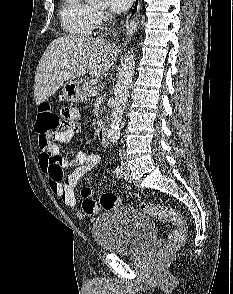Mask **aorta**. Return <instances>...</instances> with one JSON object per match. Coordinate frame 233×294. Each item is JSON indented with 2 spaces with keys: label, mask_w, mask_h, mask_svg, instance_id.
I'll return each instance as SVG.
<instances>
[{
  "label": "aorta",
  "mask_w": 233,
  "mask_h": 294,
  "mask_svg": "<svg viewBox=\"0 0 233 294\" xmlns=\"http://www.w3.org/2000/svg\"><path fill=\"white\" fill-rule=\"evenodd\" d=\"M107 0H86L91 4H102ZM135 69V54L133 50L128 51L117 76L114 89V103L112 119L107 137L111 142H117L121 133V120L124 114L130 85L132 83Z\"/></svg>",
  "instance_id": "obj_1"
}]
</instances>
